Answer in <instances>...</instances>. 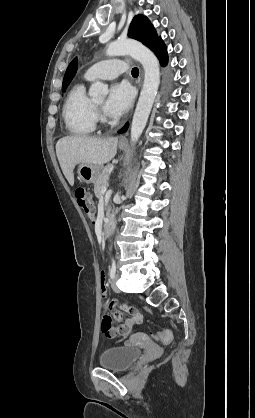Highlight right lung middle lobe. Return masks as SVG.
Listing matches in <instances>:
<instances>
[{
	"label": "right lung middle lobe",
	"instance_id": "obj_1",
	"mask_svg": "<svg viewBox=\"0 0 255 418\" xmlns=\"http://www.w3.org/2000/svg\"><path fill=\"white\" fill-rule=\"evenodd\" d=\"M66 88H67V87H65V88H62V91H63V92H65Z\"/></svg>",
	"mask_w": 255,
	"mask_h": 418
}]
</instances>
